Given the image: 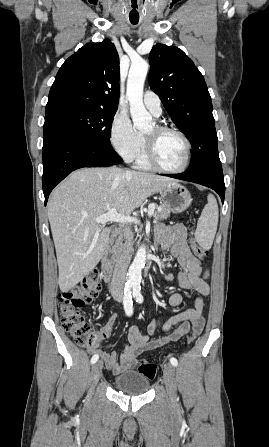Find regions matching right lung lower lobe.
I'll return each instance as SVG.
<instances>
[{
    "instance_id": "1",
    "label": "right lung lower lobe",
    "mask_w": 269,
    "mask_h": 447,
    "mask_svg": "<svg viewBox=\"0 0 269 447\" xmlns=\"http://www.w3.org/2000/svg\"><path fill=\"white\" fill-rule=\"evenodd\" d=\"M43 137L42 181L45 205L52 189L72 171L122 163L112 148L79 135L63 124L45 121Z\"/></svg>"
}]
</instances>
